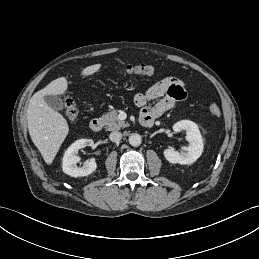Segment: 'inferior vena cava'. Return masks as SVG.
Returning a JSON list of instances; mask_svg holds the SVG:
<instances>
[{"label": "inferior vena cava", "mask_w": 259, "mask_h": 259, "mask_svg": "<svg viewBox=\"0 0 259 259\" xmlns=\"http://www.w3.org/2000/svg\"><path fill=\"white\" fill-rule=\"evenodd\" d=\"M109 138L112 142H119L122 139V133L119 131H113L110 133Z\"/></svg>", "instance_id": "inferior-vena-cava-1"}]
</instances>
